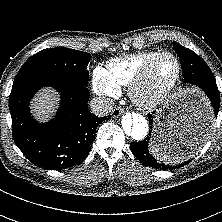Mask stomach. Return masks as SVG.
Returning a JSON list of instances; mask_svg holds the SVG:
<instances>
[{
	"label": "stomach",
	"instance_id": "stomach-1",
	"mask_svg": "<svg viewBox=\"0 0 222 222\" xmlns=\"http://www.w3.org/2000/svg\"><path fill=\"white\" fill-rule=\"evenodd\" d=\"M209 113V104L197 90H180L158 110L154 119L153 141L173 151L170 148L173 137L188 123L198 117H206Z\"/></svg>",
	"mask_w": 222,
	"mask_h": 222
}]
</instances>
